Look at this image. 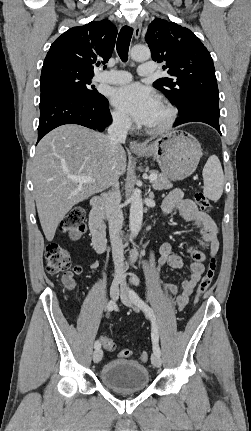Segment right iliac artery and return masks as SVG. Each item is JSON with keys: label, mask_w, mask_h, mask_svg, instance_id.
Returning a JSON list of instances; mask_svg holds the SVG:
<instances>
[{"label": "right iliac artery", "mask_w": 251, "mask_h": 431, "mask_svg": "<svg viewBox=\"0 0 251 431\" xmlns=\"http://www.w3.org/2000/svg\"><path fill=\"white\" fill-rule=\"evenodd\" d=\"M116 308V304H115V302L114 301H110L109 303H108V305H107V310H108V312H111L112 310H114ZM100 346H101V344H100V342L97 340L95 343H94V348L95 349H99L100 348Z\"/></svg>", "instance_id": "obj_1"}]
</instances>
